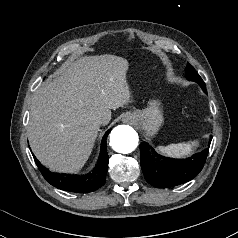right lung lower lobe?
I'll list each match as a JSON object with an SVG mask.
<instances>
[{
    "label": "right lung lower lobe",
    "mask_w": 238,
    "mask_h": 238,
    "mask_svg": "<svg viewBox=\"0 0 238 238\" xmlns=\"http://www.w3.org/2000/svg\"><path fill=\"white\" fill-rule=\"evenodd\" d=\"M109 132L110 130L105 134L102 140L101 154L96 166L92 172L84 176H74L70 174H58L50 172L43 165H41L34 156L35 163L46 181L58 189L75 193H88L95 191L103 186L106 182L105 177L108 171L109 161L106 139Z\"/></svg>",
    "instance_id": "obj_1"
}]
</instances>
